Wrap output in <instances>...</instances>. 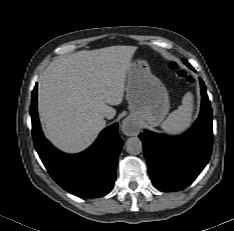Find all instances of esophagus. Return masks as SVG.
<instances>
[{
	"label": "esophagus",
	"mask_w": 234,
	"mask_h": 231,
	"mask_svg": "<svg viewBox=\"0 0 234 231\" xmlns=\"http://www.w3.org/2000/svg\"><path fill=\"white\" fill-rule=\"evenodd\" d=\"M137 124L134 123L132 120L130 119H126L123 125L124 131L125 133L132 135L135 134L137 131Z\"/></svg>",
	"instance_id": "34e87169"
}]
</instances>
